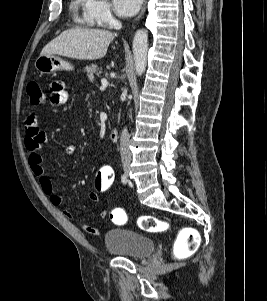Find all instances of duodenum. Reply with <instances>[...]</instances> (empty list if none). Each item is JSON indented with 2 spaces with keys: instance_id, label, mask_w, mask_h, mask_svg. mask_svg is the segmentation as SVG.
Segmentation results:
<instances>
[{
  "instance_id": "410a0bca",
  "label": "duodenum",
  "mask_w": 267,
  "mask_h": 301,
  "mask_svg": "<svg viewBox=\"0 0 267 301\" xmlns=\"http://www.w3.org/2000/svg\"><path fill=\"white\" fill-rule=\"evenodd\" d=\"M118 136H119V130L117 128L111 129V131L109 133L110 140L116 141L118 139Z\"/></svg>"
}]
</instances>
